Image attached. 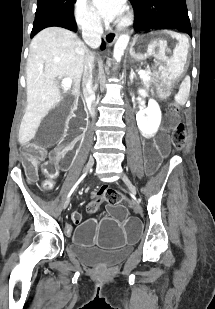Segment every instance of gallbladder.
<instances>
[{"instance_id":"gallbladder-1","label":"gallbladder","mask_w":215,"mask_h":309,"mask_svg":"<svg viewBox=\"0 0 215 309\" xmlns=\"http://www.w3.org/2000/svg\"><path fill=\"white\" fill-rule=\"evenodd\" d=\"M74 104V96L66 94L65 98H62L61 102L56 104L54 111L45 116L35 135L40 148H53L54 144H58V136H62L65 118L70 114Z\"/></svg>"}]
</instances>
